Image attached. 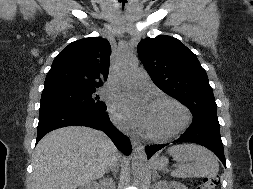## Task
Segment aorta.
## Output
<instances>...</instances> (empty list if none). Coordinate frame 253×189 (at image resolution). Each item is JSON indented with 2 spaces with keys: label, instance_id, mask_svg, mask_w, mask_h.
Instances as JSON below:
<instances>
[{
  "label": "aorta",
  "instance_id": "obj_1",
  "mask_svg": "<svg viewBox=\"0 0 253 189\" xmlns=\"http://www.w3.org/2000/svg\"><path fill=\"white\" fill-rule=\"evenodd\" d=\"M137 67V59L130 55L125 54L121 57L118 70L121 73H125L134 70ZM147 157L143 146H139L134 150L132 157V171L137 177H143L147 172Z\"/></svg>",
  "mask_w": 253,
  "mask_h": 189
}]
</instances>
